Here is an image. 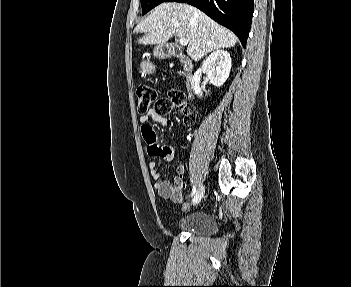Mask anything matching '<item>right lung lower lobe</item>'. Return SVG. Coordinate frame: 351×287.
I'll return each instance as SVG.
<instances>
[{"instance_id": "98d812e1", "label": "right lung lower lobe", "mask_w": 351, "mask_h": 287, "mask_svg": "<svg viewBox=\"0 0 351 287\" xmlns=\"http://www.w3.org/2000/svg\"><path fill=\"white\" fill-rule=\"evenodd\" d=\"M188 3L197 7L219 24L232 30L243 47L249 35L254 0H165V2Z\"/></svg>"}]
</instances>
